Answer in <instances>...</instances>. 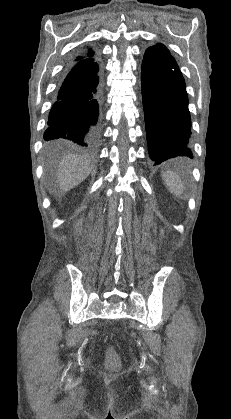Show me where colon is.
<instances>
[{"label": "colon", "instance_id": "obj_1", "mask_svg": "<svg viewBox=\"0 0 231 419\" xmlns=\"http://www.w3.org/2000/svg\"><path fill=\"white\" fill-rule=\"evenodd\" d=\"M106 365L110 369H114L119 365V358L114 352H110L106 358Z\"/></svg>", "mask_w": 231, "mask_h": 419}]
</instances>
